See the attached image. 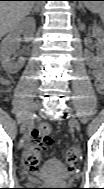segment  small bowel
<instances>
[{
  "label": "small bowel",
  "mask_w": 104,
  "mask_h": 189,
  "mask_svg": "<svg viewBox=\"0 0 104 189\" xmlns=\"http://www.w3.org/2000/svg\"><path fill=\"white\" fill-rule=\"evenodd\" d=\"M93 79H94V84H95L96 89L99 90V91L102 90L103 87H104L102 69L98 68V69H95L93 71ZM2 82H3L4 85L8 86V85L11 84L12 80L10 78H4L2 80ZM29 137H30V143H29V145L27 147V150H28V148H29V146H30V144L32 142V132L30 133Z\"/></svg>",
  "instance_id": "small-bowel-1"
}]
</instances>
